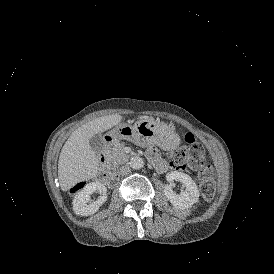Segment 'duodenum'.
<instances>
[{
	"label": "duodenum",
	"instance_id": "1",
	"mask_svg": "<svg viewBox=\"0 0 274 274\" xmlns=\"http://www.w3.org/2000/svg\"><path fill=\"white\" fill-rule=\"evenodd\" d=\"M112 142H114L113 137H106V139H105L106 144H110ZM99 162L101 164V167H102L105 175L108 178L115 177L116 172H115L114 168L112 167V165L107 160V157L104 153L99 154ZM153 164H154V167L156 168V170H158L160 172H163L166 170V165L162 161L157 160V161H154Z\"/></svg>",
	"mask_w": 274,
	"mask_h": 274
}]
</instances>
